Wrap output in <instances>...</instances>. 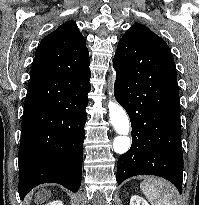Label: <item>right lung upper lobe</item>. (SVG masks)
Segmentation results:
<instances>
[{
    "instance_id": "right-lung-upper-lobe-1",
    "label": "right lung upper lobe",
    "mask_w": 199,
    "mask_h": 205,
    "mask_svg": "<svg viewBox=\"0 0 199 205\" xmlns=\"http://www.w3.org/2000/svg\"><path fill=\"white\" fill-rule=\"evenodd\" d=\"M86 39L75 22L68 21L48 34L39 44L31 67L30 82H45L49 90L25 99L24 109L66 89V81L90 75Z\"/></svg>"
}]
</instances>
